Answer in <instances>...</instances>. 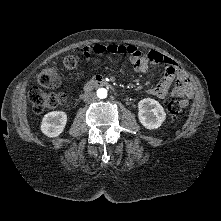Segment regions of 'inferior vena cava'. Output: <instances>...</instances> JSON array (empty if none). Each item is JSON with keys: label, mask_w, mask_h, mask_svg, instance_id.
I'll list each match as a JSON object with an SVG mask.
<instances>
[{"label": "inferior vena cava", "mask_w": 221, "mask_h": 221, "mask_svg": "<svg viewBox=\"0 0 221 221\" xmlns=\"http://www.w3.org/2000/svg\"><path fill=\"white\" fill-rule=\"evenodd\" d=\"M83 99L86 103H92L97 100V96L94 92H87L84 94Z\"/></svg>", "instance_id": "602c4592"}]
</instances>
